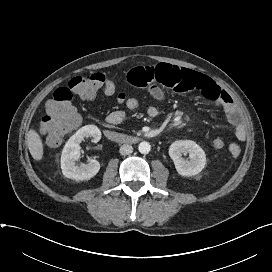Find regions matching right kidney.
<instances>
[{
	"mask_svg": "<svg viewBox=\"0 0 272 272\" xmlns=\"http://www.w3.org/2000/svg\"><path fill=\"white\" fill-rule=\"evenodd\" d=\"M91 137L92 142L97 143L101 139V132L95 125H86L80 128L66 142L61 155V169L64 177L76 181L89 180L100 170V163L90 159L87 164L77 166L75 161L80 157V143Z\"/></svg>",
	"mask_w": 272,
	"mask_h": 272,
	"instance_id": "obj_1",
	"label": "right kidney"
}]
</instances>
